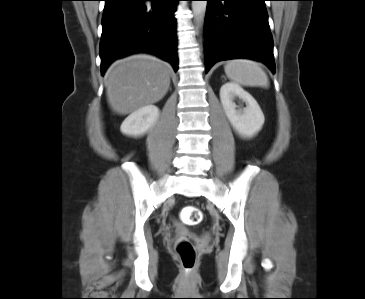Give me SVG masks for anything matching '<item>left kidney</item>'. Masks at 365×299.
<instances>
[{
	"instance_id": "5707ae66",
	"label": "left kidney",
	"mask_w": 365,
	"mask_h": 299,
	"mask_svg": "<svg viewBox=\"0 0 365 299\" xmlns=\"http://www.w3.org/2000/svg\"><path fill=\"white\" fill-rule=\"evenodd\" d=\"M220 100L230 124L241 136L251 138L261 130L265 121L263 112L257 101L239 85L225 83L220 89ZM242 102L246 107H242Z\"/></svg>"
}]
</instances>
